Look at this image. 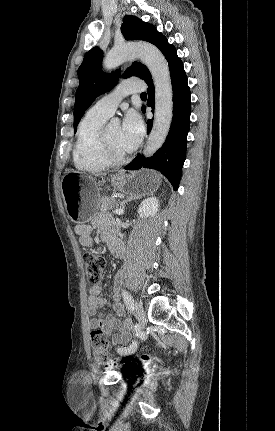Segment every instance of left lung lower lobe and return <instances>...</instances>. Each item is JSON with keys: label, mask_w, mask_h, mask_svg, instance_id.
Wrapping results in <instances>:
<instances>
[{"label": "left lung lower lobe", "mask_w": 275, "mask_h": 431, "mask_svg": "<svg viewBox=\"0 0 275 431\" xmlns=\"http://www.w3.org/2000/svg\"><path fill=\"white\" fill-rule=\"evenodd\" d=\"M165 58L168 61L173 89V118L170 131L165 143L150 158L138 155L125 169L135 170L151 168L160 171L177 190L182 174V167L186 158L187 134L190 127L191 100L190 88L181 59L172 46ZM148 85L147 105L154 109V85L152 79L146 81ZM145 112V107L142 108ZM152 128V120L147 121V131Z\"/></svg>", "instance_id": "1"}]
</instances>
